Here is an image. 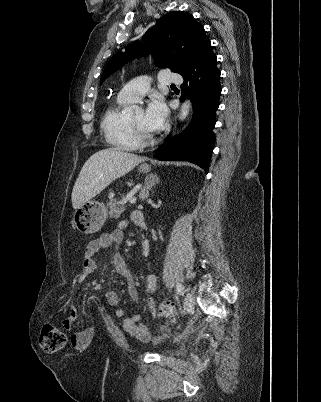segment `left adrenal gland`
<instances>
[{
	"label": "left adrenal gland",
	"instance_id": "1",
	"mask_svg": "<svg viewBox=\"0 0 321 402\" xmlns=\"http://www.w3.org/2000/svg\"><path fill=\"white\" fill-rule=\"evenodd\" d=\"M159 182V177L156 174H150L145 178V184L141 189L139 198L141 200H146L149 196V191L151 188Z\"/></svg>",
	"mask_w": 321,
	"mask_h": 402
}]
</instances>
